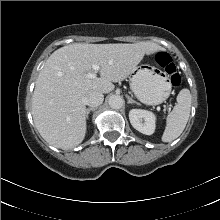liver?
Returning a JSON list of instances; mask_svg holds the SVG:
<instances>
[{
  "label": "liver",
  "mask_w": 220,
  "mask_h": 220,
  "mask_svg": "<svg viewBox=\"0 0 220 220\" xmlns=\"http://www.w3.org/2000/svg\"><path fill=\"white\" fill-rule=\"evenodd\" d=\"M163 51L152 42L134 44L74 43L54 51L36 80L32 96V116L37 130L47 143L60 149L79 145L86 134L88 91L109 93L113 82L131 75L144 55ZM100 77L89 79L93 65Z\"/></svg>",
  "instance_id": "liver-1"
}]
</instances>
